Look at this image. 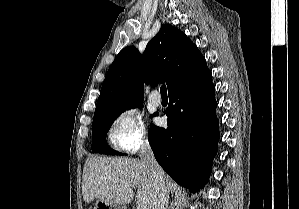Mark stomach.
<instances>
[{
    "label": "stomach",
    "mask_w": 299,
    "mask_h": 209,
    "mask_svg": "<svg viewBox=\"0 0 299 209\" xmlns=\"http://www.w3.org/2000/svg\"><path fill=\"white\" fill-rule=\"evenodd\" d=\"M94 209H125L122 205L114 204L109 201L98 199Z\"/></svg>",
    "instance_id": "obj_1"
}]
</instances>
